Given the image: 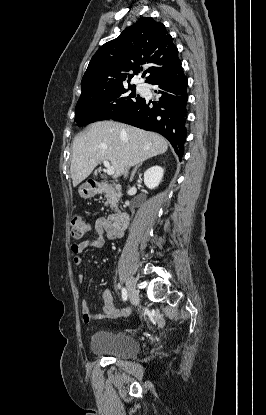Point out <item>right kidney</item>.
<instances>
[{"label": "right kidney", "mask_w": 266, "mask_h": 415, "mask_svg": "<svg viewBox=\"0 0 266 415\" xmlns=\"http://www.w3.org/2000/svg\"><path fill=\"white\" fill-rule=\"evenodd\" d=\"M164 169L160 166H153L144 173V184L149 189H155L162 181Z\"/></svg>", "instance_id": "ca27d5eb"}]
</instances>
